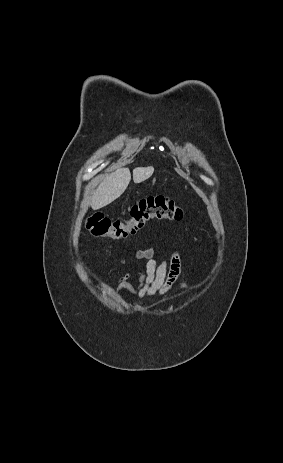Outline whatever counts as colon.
I'll return each mask as SVG.
<instances>
[{
	"mask_svg": "<svg viewBox=\"0 0 283 463\" xmlns=\"http://www.w3.org/2000/svg\"><path fill=\"white\" fill-rule=\"evenodd\" d=\"M182 217L183 210L173 200L156 195L140 199L125 219L112 220L99 214L92 215L86 222V228L95 236L123 239L137 233L150 221L180 220Z\"/></svg>",
	"mask_w": 283,
	"mask_h": 463,
	"instance_id": "5ec220e1",
	"label": "colon"
}]
</instances>
